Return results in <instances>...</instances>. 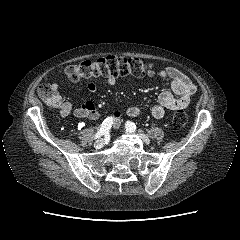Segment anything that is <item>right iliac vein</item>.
I'll return each instance as SVG.
<instances>
[{
    "mask_svg": "<svg viewBox=\"0 0 240 240\" xmlns=\"http://www.w3.org/2000/svg\"><path fill=\"white\" fill-rule=\"evenodd\" d=\"M104 146V140L103 139H98L95 143H94V147L96 149H100Z\"/></svg>",
    "mask_w": 240,
    "mask_h": 240,
    "instance_id": "obj_1",
    "label": "right iliac vein"
}]
</instances>
